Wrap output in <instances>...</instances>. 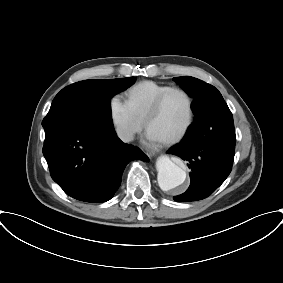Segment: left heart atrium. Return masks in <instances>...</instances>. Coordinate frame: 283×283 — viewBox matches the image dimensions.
Returning a JSON list of instances; mask_svg holds the SVG:
<instances>
[{"instance_id":"obj_1","label":"left heart atrium","mask_w":283,"mask_h":283,"mask_svg":"<svg viewBox=\"0 0 283 283\" xmlns=\"http://www.w3.org/2000/svg\"><path fill=\"white\" fill-rule=\"evenodd\" d=\"M147 138L152 141V142H160L162 141L161 139H159L158 137H156L155 135H153L152 133L147 131Z\"/></svg>"}]
</instances>
